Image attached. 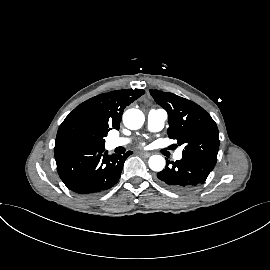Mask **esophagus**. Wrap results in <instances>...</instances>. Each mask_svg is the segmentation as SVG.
Masks as SVG:
<instances>
[{
	"instance_id": "esophagus-1",
	"label": "esophagus",
	"mask_w": 270,
	"mask_h": 270,
	"mask_svg": "<svg viewBox=\"0 0 270 270\" xmlns=\"http://www.w3.org/2000/svg\"><path fill=\"white\" fill-rule=\"evenodd\" d=\"M139 154L143 157H150V155H151V153H149V152H140Z\"/></svg>"
}]
</instances>
